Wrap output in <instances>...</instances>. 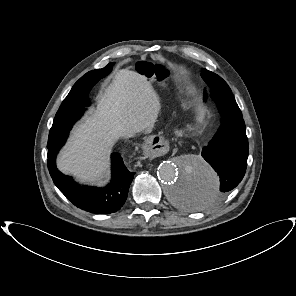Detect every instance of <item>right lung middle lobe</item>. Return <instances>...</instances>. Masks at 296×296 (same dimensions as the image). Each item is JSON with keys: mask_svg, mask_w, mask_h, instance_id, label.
Here are the masks:
<instances>
[{"mask_svg": "<svg viewBox=\"0 0 296 296\" xmlns=\"http://www.w3.org/2000/svg\"><path fill=\"white\" fill-rule=\"evenodd\" d=\"M112 65L113 63H109L102 69L90 71L75 83L56 113L52 128L49 133L47 144L48 148L61 140H66L73 124L83 115L84 106L89 105L88 93L93 86L85 89L83 88V83L87 79L98 78L100 80L101 78L105 77L111 72Z\"/></svg>", "mask_w": 296, "mask_h": 296, "instance_id": "obj_1", "label": "right lung middle lobe"}]
</instances>
